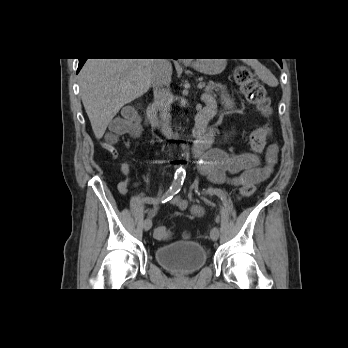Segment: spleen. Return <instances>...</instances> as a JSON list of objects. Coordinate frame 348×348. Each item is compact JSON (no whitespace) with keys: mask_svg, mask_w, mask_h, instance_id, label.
Listing matches in <instances>:
<instances>
[{"mask_svg":"<svg viewBox=\"0 0 348 348\" xmlns=\"http://www.w3.org/2000/svg\"><path fill=\"white\" fill-rule=\"evenodd\" d=\"M244 63L251 66L259 79L264 83L271 87H276L278 85V80L275 78V76L257 59H244Z\"/></svg>","mask_w":348,"mask_h":348,"instance_id":"3e777b00","label":"spleen"}]
</instances>
